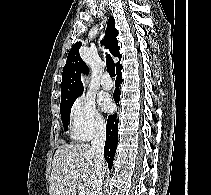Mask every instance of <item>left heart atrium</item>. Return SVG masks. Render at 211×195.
Wrapping results in <instances>:
<instances>
[{
    "instance_id": "1",
    "label": "left heart atrium",
    "mask_w": 211,
    "mask_h": 195,
    "mask_svg": "<svg viewBox=\"0 0 211 195\" xmlns=\"http://www.w3.org/2000/svg\"><path fill=\"white\" fill-rule=\"evenodd\" d=\"M100 104L102 108L107 112H111L114 109V104L108 96H103L100 99Z\"/></svg>"
}]
</instances>
